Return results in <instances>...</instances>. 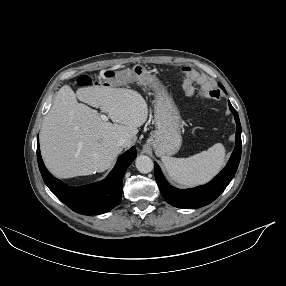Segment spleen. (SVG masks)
I'll return each mask as SVG.
<instances>
[{"label": "spleen", "mask_w": 286, "mask_h": 286, "mask_svg": "<svg viewBox=\"0 0 286 286\" xmlns=\"http://www.w3.org/2000/svg\"><path fill=\"white\" fill-rule=\"evenodd\" d=\"M224 158V146L217 143L188 158L162 156L161 159L173 181L182 186H194L211 180L221 170Z\"/></svg>", "instance_id": "3e777b00"}]
</instances>
